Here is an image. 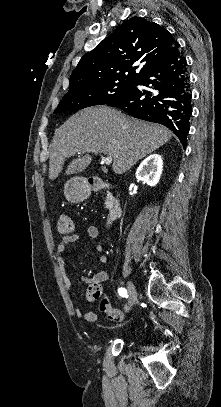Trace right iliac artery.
<instances>
[{"label": "right iliac artery", "instance_id": "right-iliac-artery-1", "mask_svg": "<svg viewBox=\"0 0 221 407\" xmlns=\"http://www.w3.org/2000/svg\"><path fill=\"white\" fill-rule=\"evenodd\" d=\"M118 293H119V295L122 296V297H125V298L128 297L127 290L124 289V288H119V289H118Z\"/></svg>", "mask_w": 221, "mask_h": 407}]
</instances>
